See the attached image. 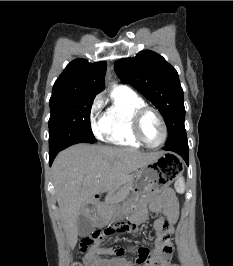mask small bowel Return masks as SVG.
I'll return each mask as SVG.
<instances>
[{
  "instance_id": "obj_1",
  "label": "small bowel",
  "mask_w": 233,
  "mask_h": 266,
  "mask_svg": "<svg viewBox=\"0 0 233 266\" xmlns=\"http://www.w3.org/2000/svg\"><path fill=\"white\" fill-rule=\"evenodd\" d=\"M149 210L154 214L162 213L164 216L156 219L153 224L156 239L151 249L145 246L130 247V251L137 252L138 257L129 261L123 257L114 256L112 247L94 244L83 257V264L85 266H170L172 236L178 216V204L172 191L166 190L160 198L150 204ZM147 214L146 201L142 200L138 210L132 216V221L134 223L145 221Z\"/></svg>"
}]
</instances>
